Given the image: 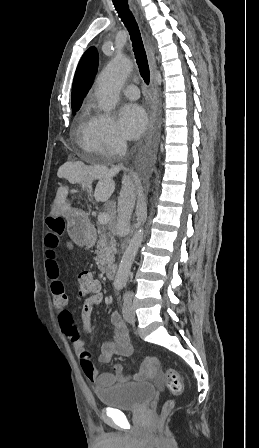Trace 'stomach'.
<instances>
[{"label":"stomach","mask_w":259,"mask_h":448,"mask_svg":"<svg viewBox=\"0 0 259 448\" xmlns=\"http://www.w3.org/2000/svg\"><path fill=\"white\" fill-rule=\"evenodd\" d=\"M65 220L68 221V232L78 244V246H86L91 242L93 236L92 226L87 218V213L82 212L79 206H68L65 209ZM51 214L56 216L57 210L51 206Z\"/></svg>","instance_id":"obj_1"}]
</instances>
